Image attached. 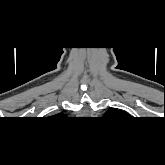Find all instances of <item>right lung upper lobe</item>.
<instances>
[{"mask_svg": "<svg viewBox=\"0 0 165 165\" xmlns=\"http://www.w3.org/2000/svg\"><path fill=\"white\" fill-rule=\"evenodd\" d=\"M61 114H57L56 116H60Z\"/></svg>", "mask_w": 165, "mask_h": 165, "instance_id": "obj_1", "label": "right lung upper lobe"}]
</instances>
